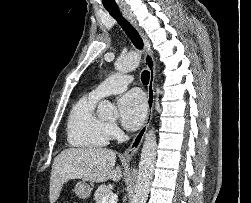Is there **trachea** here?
<instances>
[{
	"label": "trachea",
	"instance_id": "trachea-1",
	"mask_svg": "<svg viewBox=\"0 0 251 203\" xmlns=\"http://www.w3.org/2000/svg\"><path fill=\"white\" fill-rule=\"evenodd\" d=\"M110 15L116 19V21L119 23V25L123 28L129 39L132 41L134 46L141 50L143 49V41L137 32V30L134 28V26L123 17L121 12L118 10H108ZM150 79V73L148 71H143L141 74V81L143 84L147 85L149 83Z\"/></svg>",
	"mask_w": 251,
	"mask_h": 203
}]
</instances>
